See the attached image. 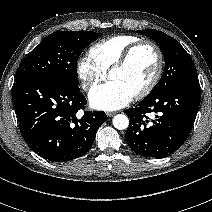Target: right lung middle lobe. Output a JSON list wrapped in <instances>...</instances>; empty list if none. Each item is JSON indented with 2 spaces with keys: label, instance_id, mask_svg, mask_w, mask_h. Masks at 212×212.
<instances>
[{
  "label": "right lung middle lobe",
  "instance_id": "right-lung-middle-lobe-1",
  "mask_svg": "<svg viewBox=\"0 0 212 212\" xmlns=\"http://www.w3.org/2000/svg\"><path fill=\"white\" fill-rule=\"evenodd\" d=\"M101 34L91 31H58L45 37L19 65L15 81L52 77L78 88L77 60Z\"/></svg>",
  "mask_w": 212,
  "mask_h": 212
}]
</instances>
